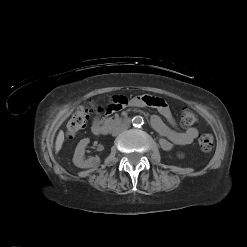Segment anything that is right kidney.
Instances as JSON below:
<instances>
[{
    "mask_svg": "<svg viewBox=\"0 0 247 247\" xmlns=\"http://www.w3.org/2000/svg\"><path fill=\"white\" fill-rule=\"evenodd\" d=\"M90 142L88 138H84L80 140L78 143L75 153L73 156V163L75 166L79 168H91L98 166L100 164V158L98 156L96 157H90L89 159L84 160V153H85V147Z\"/></svg>",
    "mask_w": 247,
    "mask_h": 247,
    "instance_id": "1",
    "label": "right kidney"
}]
</instances>
